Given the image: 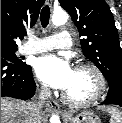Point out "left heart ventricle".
<instances>
[{
  "label": "left heart ventricle",
  "mask_w": 122,
  "mask_h": 123,
  "mask_svg": "<svg viewBox=\"0 0 122 123\" xmlns=\"http://www.w3.org/2000/svg\"><path fill=\"white\" fill-rule=\"evenodd\" d=\"M99 81L90 69H76L73 81L65 93L74 100H85L96 94Z\"/></svg>",
  "instance_id": "left-heart-ventricle-1"
}]
</instances>
